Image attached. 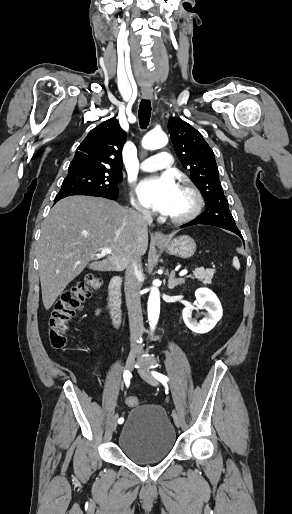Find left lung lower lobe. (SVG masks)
Here are the masks:
<instances>
[{
  "label": "left lung lower lobe",
  "mask_w": 292,
  "mask_h": 514,
  "mask_svg": "<svg viewBox=\"0 0 292 514\" xmlns=\"http://www.w3.org/2000/svg\"><path fill=\"white\" fill-rule=\"evenodd\" d=\"M197 224L213 225V224H210V223L201 222L198 218H196V219H194V220H192V221L182 225L181 228H184V227H187V226H192V225H197ZM214 226L230 230V231L234 232L235 234H237L243 240V237H242L241 232L239 230H232V229H228V228H225V227H222V226H218V225H214Z\"/></svg>",
  "instance_id": "0a47b994"
}]
</instances>
